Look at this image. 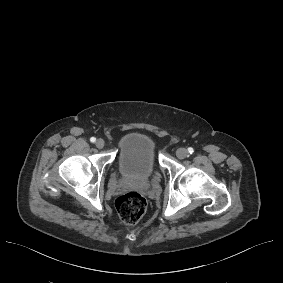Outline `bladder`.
<instances>
[{
  "mask_svg": "<svg viewBox=\"0 0 283 283\" xmlns=\"http://www.w3.org/2000/svg\"><path fill=\"white\" fill-rule=\"evenodd\" d=\"M119 166L125 176L147 178L157 161L156 146L153 141L141 133H132L122 144Z\"/></svg>",
  "mask_w": 283,
  "mask_h": 283,
  "instance_id": "31cf9c89",
  "label": "bladder"
}]
</instances>
